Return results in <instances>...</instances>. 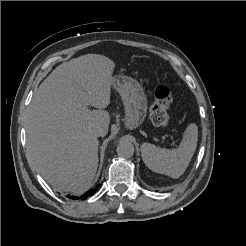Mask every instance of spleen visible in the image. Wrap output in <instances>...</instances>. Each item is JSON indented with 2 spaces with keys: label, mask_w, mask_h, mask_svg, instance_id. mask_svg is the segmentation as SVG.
I'll return each instance as SVG.
<instances>
[{
  "label": "spleen",
  "mask_w": 246,
  "mask_h": 246,
  "mask_svg": "<svg viewBox=\"0 0 246 246\" xmlns=\"http://www.w3.org/2000/svg\"><path fill=\"white\" fill-rule=\"evenodd\" d=\"M198 141V127L189 124L177 149H164L150 143L141 145L142 159L153 172L165 174L171 178L180 177L187 169Z\"/></svg>",
  "instance_id": "1"
}]
</instances>
